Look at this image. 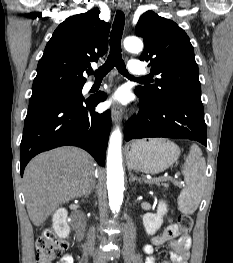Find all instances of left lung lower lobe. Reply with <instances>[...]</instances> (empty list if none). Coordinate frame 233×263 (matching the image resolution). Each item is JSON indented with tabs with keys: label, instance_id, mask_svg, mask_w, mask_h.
Masks as SVG:
<instances>
[{
	"label": "left lung lower lobe",
	"instance_id": "obj_1",
	"mask_svg": "<svg viewBox=\"0 0 233 263\" xmlns=\"http://www.w3.org/2000/svg\"><path fill=\"white\" fill-rule=\"evenodd\" d=\"M142 109L126 124L125 140L165 137L195 140L207 146L206 123L201 98L175 96L159 105H150L137 91Z\"/></svg>",
	"mask_w": 233,
	"mask_h": 263
}]
</instances>
